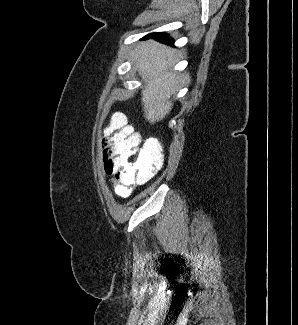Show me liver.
I'll return each instance as SVG.
<instances>
[{"mask_svg": "<svg viewBox=\"0 0 298 325\" xmlns=\"http://www.w3.org/2000/svg\"><path fill=\"white\" fill-rule=\"evenodd\" d=\"M175 58L176 48L160 44L152 38L135 48V68L146 80L141 90L142 108L151 124L163 120L173 106L171 96L175 94L177 82L172 70Z\"/></svg>", "mask_w": 298, "mask_h": 325, "instance_id": "liver-1", "label": "liver"}]
</instances>
